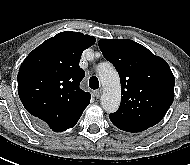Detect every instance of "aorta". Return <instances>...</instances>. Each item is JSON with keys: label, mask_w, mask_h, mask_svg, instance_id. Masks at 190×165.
I'll list each match as a JSON object with an SVG mask.
<instances>
[{"label": "aorta", "mask_w": 190, "mask_h": 165, "mask_svg": "<svg viewBox=\"0 0 190 165\" xmlns=\"http://www.w3.org/2000/svg\"><path fill=\"white\" fill-rule=\"evenodd\" d=\"M98 75L103 85V94L101 96V106L108 112H115L121 101L120 79L117 71L111 64L99 66Z\"/></svg>", "instance_id": "aorta-1"}]
</instances>
